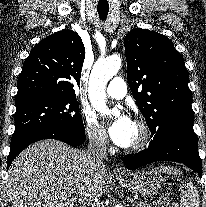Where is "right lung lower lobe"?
Returning <instances> with one entry per match:
<instances>
[{
	"label": "right lung lower lobe",
	"instance_id": "right-lung-lower-lobe-1",
	"mask_svg": "<svg viewBox=\"0 0 206 207\" xmlns=\"http://www.w3.org/2000/svg\"><path fill=\"white\" fill-rule=\"evenodd\" d=\"M43 139H57L70 146L76 147L85 142L84 134H76L59 128H43L31 131L22 137L11 140L10 153L7 158V168L10 166L15 157L31 143Z\"/></svg>",
	"mask_w": 206,
	"mask_h": 207
}]
</instances>
